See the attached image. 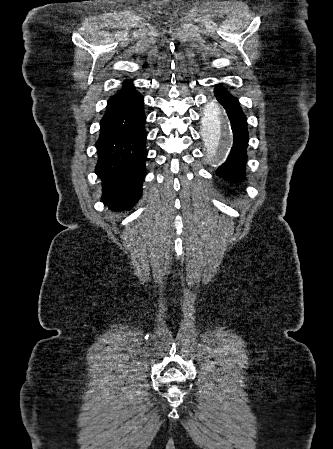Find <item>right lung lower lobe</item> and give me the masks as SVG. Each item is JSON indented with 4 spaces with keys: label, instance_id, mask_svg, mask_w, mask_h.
<instances>
[{
    "label": "right lung lower lobe",
    "instance_id": "obj_1",
    "mask_svg": "<svg viewBox=\"0 0 333 449\" xmlns=\"http://www.w3.org/2000/svg\"><path fill=\"white\" fill-rule=\"evenodd\" d=\"M143 105L141 94L126 96L108 104L100 121L95 172L102 180V201L115 211L132 207L141 196L147 157Z\"/></svg>",
    "mask_w": 333,
    "mask_h": 449
}]
</instances>
